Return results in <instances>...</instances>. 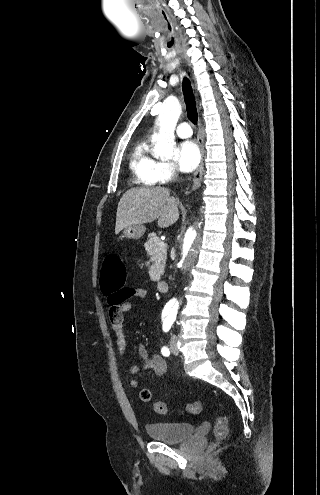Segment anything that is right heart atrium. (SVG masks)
<instances>
[{
    "instance_id": "1",
    "label": "right heart atrium",
    "mask_w": 320,
    "mask_h": 495,
    "mask_svg": "<svg viewBox=\"0 0 320 495\" xmlns=\"http://www.w3.org/2000/svg\"><path fill=\"white\" fill-rule=\"evenodd\" d=\"M176 175V168L170 162H159L155 172V180L158 183H167Z\"/></svg>"
}]
</instances>
